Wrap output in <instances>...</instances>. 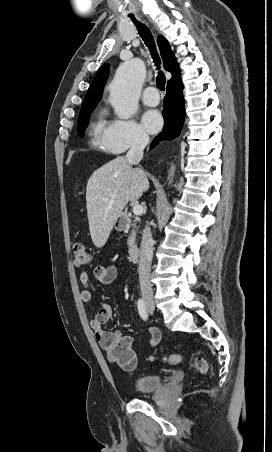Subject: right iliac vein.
Wrapping results in <instances>:
<instances>
[{
    "mask_svg": "<svg viewBox=\"0 0 272 452\" xmlns=\"http://www.w3.org/2000/svg\"><path fill=\"white\" fill-rule=\"evenodd\" d=\"M146 306H147V308H148L149 310H151V311H154V310H155V305H154V303L151 302V301L146 302Z\"/></svg>",
    "mask_w": 272,
    "mask_h": 452,
    "instance_id": "right-iliac-vein-1",
    "label": "right iliac vein"
}]
</instances>
